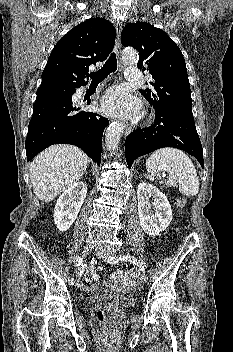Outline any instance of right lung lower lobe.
Here are the masks:
<instances>
[{"label":"right lung lower lobe","instance_id":"98d812e1","mask_svg":"<svg viewBox=\"0 0 233 352\" xmlns=\"http://www.w3.org/2000/svg\"><path fill=\"white\" fill-rule=\"evenodd\" d=\"M108 123L107 118L82 111L72 98L37 101L25 143L27 161L50 145L68 143L81 148L100 166L102 135Z\"/></svg>","mask_w":233,"mask_h":352}]
</instances>
